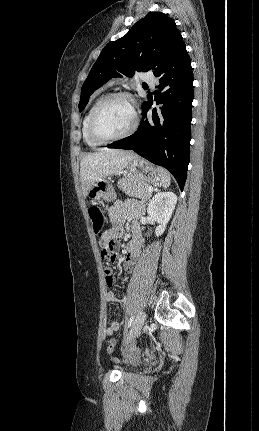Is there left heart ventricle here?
Here are the masks:
<instances>
[{
    "label": "left heart ventricle",
    "instance_id": "left-heart-ventricle-1",
    "mask_svg": "<svg viewBox=\"0 0 259 431\" xmlns=\"http://www.w3.org/2000/svg\"><path fill=\"white\" fill-rule=\"evenodd\" d=\"M131 104L125 99L109 102L100 112L96 131L101 137H113L127 131L133 123Z\"/></svg>",
    "mask_w": 259,
    "mask_h": 431
}]
</instances>
